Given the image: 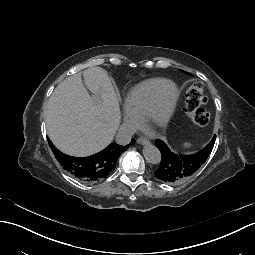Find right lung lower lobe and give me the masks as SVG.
<instances>
[{
  "label": "right lung lower lobe",
  "mask_w": 255,
  "mask_h": 255,
  "mask_svg": "<svg viewBox=\"0 0 255 255\" xmlns=\"http://www.w3.org/2000/svg\"><path fill=\"white\" fill-rule=\"evenodd\" d=\"M134 143L135 140L133 139ZM83 170L85 172L98 173L100 171V160L94 158V155L91 153H86L83 155Z\"/></svg>",
  "instance_id": "right-lung-lower-lobe-1"
}]
</instances>
